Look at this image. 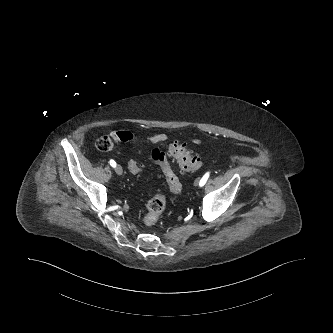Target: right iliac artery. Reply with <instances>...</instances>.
<instances>
[{
    "instance_id": "82829eb1",
    "label": "right iliac artery",
    "mask_w": 333,
    "mask_h": 333,
    "mask_svg": "<svg viewBox=\"0 0 333 333\" xmlns=\"http://www.w3.org/2000/svg\"><path fill=\"white\" fill-rule=\"evenodd\" d=\"M109 163H110V165H111L112 167H115V166H116V162H115L114 160H112V159L109 161Z\"/></svg>"
}]
</instances>
